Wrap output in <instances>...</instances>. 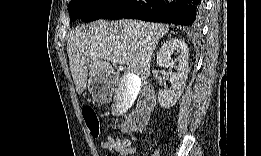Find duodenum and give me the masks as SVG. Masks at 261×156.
<instances>
[{"label": "duodenum", "mask_w": 261, "mask_h": 156, "mask_svg": "<svg viewBox=\"0 0 261 156\" xmlns=\"http://www.w3.org/2000/svg\"><path fill=\"white\" fill-rule=\"evenodd\" d=\"M154 98V90L151 87H146L142 92V97L138 103L137 110L134 114L135 121L142 120L152 112Z\"/></svg>", "instance_id": "obj_1"}]
</instances>
